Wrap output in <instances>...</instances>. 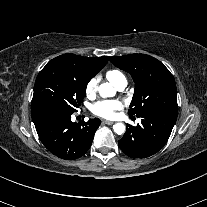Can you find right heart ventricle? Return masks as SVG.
<instances>
[{
  "label": "right heart ventricle",
  "mask_w": 207,
  "mask_h": 207,
  "mask_svg": "<svg viewBox=\"0 0 207 207\" xmlns=\"http://www.w3.org/2000/svg\"><path fill=\"white\" fill-rule=\"evenodd\" d=\"M105 76L114 86L118 85L120 82H127L123 73L116 69L107 71Z\"/></svg>",
  "instance_id": "1"
}]
</instances>
